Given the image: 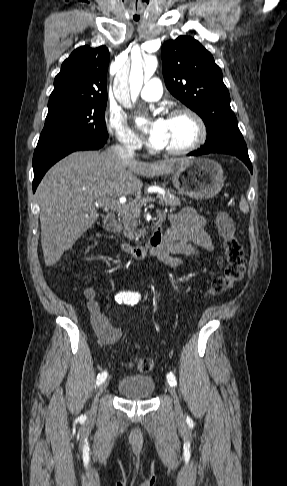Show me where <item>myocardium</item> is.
Wrapping results in <instances>:
<instances>
[{"label": "myocardium", "mask_w": 287, "mask_h": 486, "mask_svg": "<svg viewBox=\"0 0 287 486\" xmlns=\"http://www.w3.org/2000/svg\"><path fill=\"white\" fill-rule=\"evenodd\" d=\"M180 116H186L190 118L195 127H196V136L195 139L188 145L179 147V148H169V149H161L160 151L166 155L170 156H180V155H185L188 153H191L198 148H200L206 141L207 139V128L204 120L202 117L193 109L190 108H177L173 110L169 116L168 119L180 117Z\"/></svg>", "instance_id": "myocardium-1"}]
</instances>
